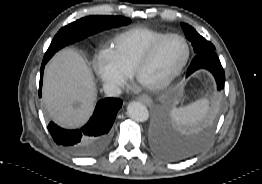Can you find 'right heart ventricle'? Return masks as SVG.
<instances>
[{
	"label": "right heart ventricle",
	"mask_w": 262,
	"mask_h": 184,
	"mask_svg": "<svg viewBox=\"0 0 262 184\" xmlns=\"http://www.w3.org/2000/svg\"><path fill=\"white\" fill-rule=\"evenodd\" d=\"M165 34L143 27L128 29L112 40L110 52L118 64L128 74H132L135 65L147 49Z\"/></svg>",
	"instance_id": "1"
}]
</instances>
